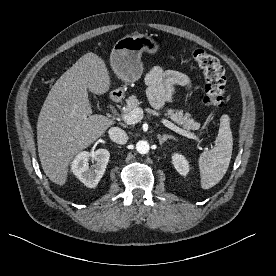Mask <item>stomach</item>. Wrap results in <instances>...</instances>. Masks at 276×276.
Here are the masks:
<instances>
[{"label":"stomach","instance_id":"stomach-1","mask_svg":"<svg viewBox=\"0 0 276 276\" xmlns=\"http://www.w3.org/2000/svg\"><path fill=\"white\" fill-rule=\"evenodd\" d=\"M159 49L158 43L147 34L126 36L114 44L110 54V65L121 81L135 82L143 72L142 53L145 51L155 55Z\"/></svg>","mask_w":276,"mask_h":276}]
</instances>
